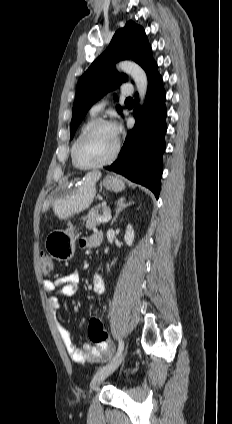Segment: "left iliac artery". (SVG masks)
I'll use <instances>...</instances> for the list:
<instances>
[{"label": "left iliac artery", "instance_id": "44dca946", "mask_svg": "<svg viewBox=\"0 0 232 424\" xmlns=\"http://www.w3.org/2000/svg\"><path fill=\"white\" fill-rule=\"evenodd\" d=\"M123 348H124V343L122 342V340H119L118 350H117V353H116L115 357L113 358V360L121 355Z\"/></svg>", "mask_w": 232, "mask_h": 424}]
</instances>
